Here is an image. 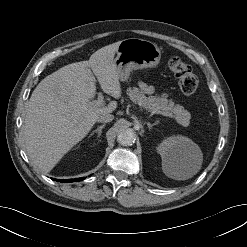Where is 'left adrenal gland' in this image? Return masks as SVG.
<instances>
[{
	"mask_svg": "<svg viewBox=\"0 0 247 247\" xmlns=\"http://www.w3.org/2000/svg\"><path fill=\"white\" fill-rule=\"evenodd\" d=\"M156 124H158V121H156V122H154V123H152V124L148 122V123H147V126H148V128H149V130H150V129H152V127H153L154 125H156Z\"/></svg>",
	"mask_w": 247,
	"mask_h": 247,
	"instance_id": "left-adrenal-gland-1",
	"label": "left adrenal gland"
}]
</instances>
